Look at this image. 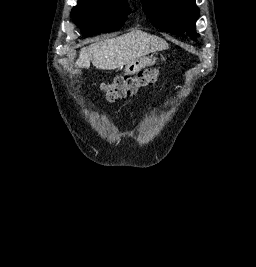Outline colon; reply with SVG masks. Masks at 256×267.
<instances>
[{"label": "colon", "instance_id": "colon-1", "mask_svg": "<svg viewBox=\"0 0 256 267\" xmlns=\"http://www.w3.org/2000/svg\"><path fill=\"white\" fill-rule=\"evenodd\" d=\"M158 80L157 71H144L140 69L134 77L122 76L109 84L102 85V92L108 101L125 96L135 95L139 88L155 86Z\"/></svg>", "mask_w": 256, "mask_h": 267}]
</instances>
